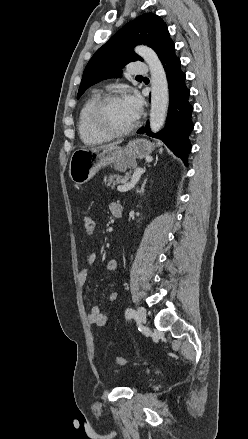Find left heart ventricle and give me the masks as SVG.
<instances>
[{"label": "left heart ventricle", "mask_w": 248, "mask_h": 439, "mask_svg": "<svg viewBox=\"0 0 248 439\" xmlns=\"http://www.w3.org/2000/svg\"><path fill=\"white\" fill-rule=\"evenodd\" d=\"M105 121L109 127L122 130L134 123L136 117L124 99L111 102L105 110Z\"/></svg>", "instance_id": "obj_1"}]
</instances>
